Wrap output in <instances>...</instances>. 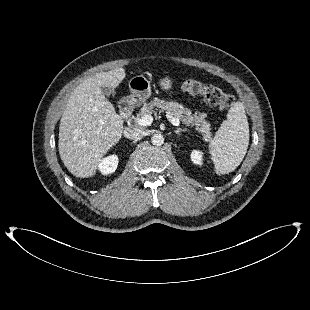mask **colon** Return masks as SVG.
I'll return each instance as SVG.
<instances>
[{
    "label": "colon",
    "instance_id": "colon-1",
    "mask_svg": "<svg viewBox=\"0 0 310 310\" xmlns=\"http://www.w3.org/2000/svg\"><path fill=\"white\" fill-rule=\"evenodd\" d=\"M182 90L189 96H199L208 104L217 106L220 109H228L234 103V98L223 92L220 88L203 84L194 79L186 80L182 85Z\"/></svg>",
    "mask_w": 310,
    "mask_h": 310
}]
</instances>
